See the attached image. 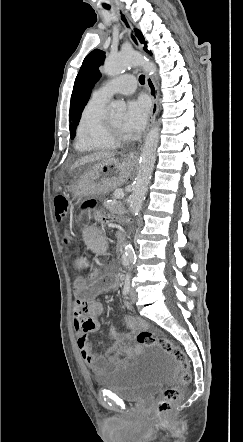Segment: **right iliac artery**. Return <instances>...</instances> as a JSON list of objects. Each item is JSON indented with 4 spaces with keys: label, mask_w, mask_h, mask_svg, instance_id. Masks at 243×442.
Wrapping results in <instances>:
<instances>
[{
    "label": "right iliac artery",
    "mask_w": 243,
    "mask_h": 442,
    "mask_svg": "<svg viewBox=\"0 0 243 442\" xmlns=\"http://www.w3.org/2000/svg\"><path fill=\"white\" fill-rule=\"evenodd\" d=\"M131 289V280H130V276L127 275L126 279H125V284H124V288H123V294L127 295L129 294Z\"/></svg>",
    "instance_id": "1"
}]
</instances>
